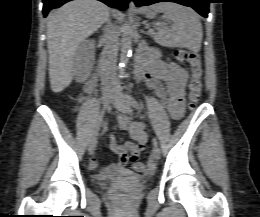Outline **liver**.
<instances>
[{"label":"liver","instance_id":"1","mask_svg":"<svg viewBox=\"0 0 260 217\" xmlns=\"http://www.w3.org/2000/svg\"><path fill=\"white\" fill-rule=\"evenodd\" d=\"M109 15V8L97 0H73L48 15L49 81L53 92L70 85L79 45L107 22Z\"/></svg>","mask_w":260,"mask_h":217}]
</instances>
